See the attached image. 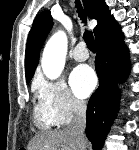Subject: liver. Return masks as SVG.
<instances>
[{
	"label": "liver",
	"mask_w": 139,
	"mask_h": 150,
	"mask_svg": "<svg viewBox=\"0 0 139 150\" xmlns=\"http://www.w3.org/2000/svg\"><path fill=\"white\" fill-rule=\"evenodd\" d=\"M77 150L76 140L68 129L36 135L27 150Z\"/></svg>",
	"instance_id": "liver-1"
}]
</instances>
